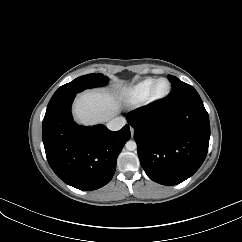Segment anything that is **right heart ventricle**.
Returning <instances> with one entry per match:
<instances>
[{"label":"right heart ventricle","instance_id":"right-heart-ventricle-1","mask_svg":"<svg viewBox=\"0 0 242 242\" xmlns=\"http://www.w3.org/2000/svg\"><path fill=\"white\" fill-rule=\"evenodd\" d=\"M155 78H145L132 85L125 91V98L130 104H137L144 101L154 83Z\"/></svg>","mask_w":242,"mask_h":242}]
</instances>
